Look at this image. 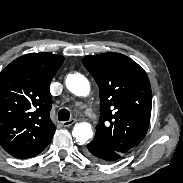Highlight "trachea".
<instances>
[{
  "label": "trachea",
  "mask_w": 183,
  "mask_h": 183,
  "mask_svg": "<svg viewBox=\"0 0 183 183\" xmlns=\"http://www.w3.org/2000/svg\"><path fill=\"white\" fill-rule=\"evenodd\" d=\"M70 118V112L67 109H61L58 112V120L67 121Z\"/></svg>",
  "instance_id": "obj_1"
}]
</instances>
